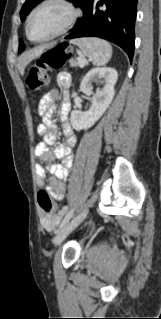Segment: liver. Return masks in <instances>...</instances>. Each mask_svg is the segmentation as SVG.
Here are the masks:
<instances>
[{"label":"liver","instance_id":"liver-1","mask_svg":"<svg viewBox=\"0 0 161 319\" xmlns=\"http://www.w3.org/2000/svg\"><path fill=\"white\" fill-rule=\"evenodd\" d=\"M44 51V47L40 46L37 47L33 50L27 51L25 53H23L20 57H19V62L17 65V68L20 72V74L23 76L24 75V71H25V67L35 58H37L38 56H40L42 54V52Z\"/></svg>","mask_w":161,"mask_h":319}]
</instances>
